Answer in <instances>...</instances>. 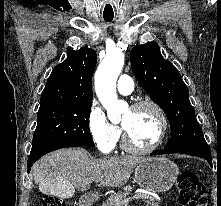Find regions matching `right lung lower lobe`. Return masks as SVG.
<instances>
[{
	"label": "right lung lower lobe",
	"mask_w": 221,
	"mask_h": 206,
	"mask_svg": "<svg viewBox=\"0 0 221 206\" xmlns=\"http://www.w3.org/2000/svg\"><path fill=\"white\" fill-rule=\"evenodd\" d=\"M66 147H83V146L82 145H66V146H61V147L49 149V150L39 152V153H36V154H31L28 158V173L30 172L33 163L36 162L40 157H42L43 155H45V154H47L51 151H54V150H57V149H60V148H66Z\"/></svg>",
	"instance_id": "obj_1"
}]
</instances>
